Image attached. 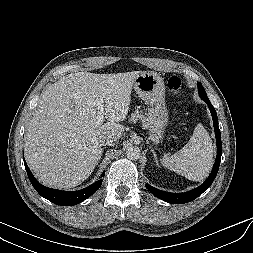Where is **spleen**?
Listing matches in <instances>:
<instances>
[{
	"label": "spleen",
	"mask_w": 253,
	"mask_h": 253,
	"mask_svg": "<svg viewBox=\"0 0 253 253\" xmlns=\"http://www.w3.org/2000/svg\"><path fill=\"white\" fill-rule=\"evenodd\" d=\"M213 153L211 138L199 123L189 142L171 157L164 156L162 163L169 170L189 180L201 181L212 168Z\"/></svg>",
	"instance_id": "obj_1"
}]
</instances>
